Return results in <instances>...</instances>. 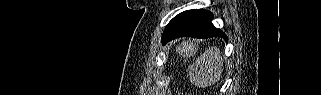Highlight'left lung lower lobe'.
<instances>
[{"instance_id":"0a47b994","label":"left lung lower lobe","mask_w":321,"mask_h":95,"mask_svg":"<svg viewBox=\"0 0 321 95\" xmlns=\"http://www.w3.org/2000/svg\"><path fill=\"white\" fill-rule=\"evenodd\" d=\"M213 15L206 10H187L175 16L166 26L162 43L178 37L210 38L221 37L227 40L226 35L212 24Z\"/></svg>"}]
</instances>
